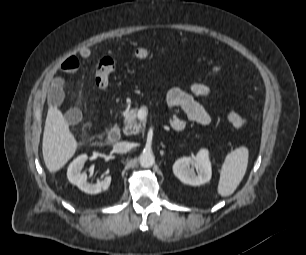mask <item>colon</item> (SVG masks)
I'll return each instance as SVG.
<instances>
[{"mask_svg":"<svg viewBox=\"0 0 306 255\" xmlns=\"http://www.w3.org/2000/svg\"><path fill=\"white\" fill-rule=\"evenodd\" d=\"M149 55V51L144 46H139L134 51L135 59L139 61L145 60ZM117 69V62L111 57L102 58L96 68L95 81L99 88L106 89L110 82L111 75ZM218 69L215 68V71ZM227 121L235 128H244L248 125V119L244 116L234 112V111H225L224 113Z\"/></svg>","mask_w":306,"mask_h":255,"instance_id":"5ec220e1","label":"colon"}]
</instances>
